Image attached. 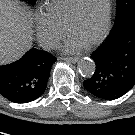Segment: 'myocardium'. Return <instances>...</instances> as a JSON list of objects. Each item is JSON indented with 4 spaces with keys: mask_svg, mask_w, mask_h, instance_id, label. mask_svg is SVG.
Listing matches in <instances>:
<instances>
[{
    "mask_svg": "<svg viewBox=\"0 0 135 135\" xmlns=\"http://www.w3.org/2000/svg\"><path fill=\"white\" fill-rule=\"evenodd\" d=\"M84 2H85V0H79L77 2L73 12L68 17V19L65 23V27H64L66 34H68L70 25L80 16ZM112 6H113L112 0H108L105 24H104L103 30L96 38H94L92 41L85 44L86 47H92V46L98 45L108 36L110 27H111Z\"/></svg>",
    "mask_w": 135,
    "mask_h": 135,
    "instance_id": "1",
    "label": "myocardium"
}]
</instances>
